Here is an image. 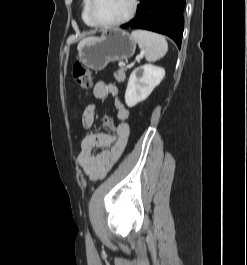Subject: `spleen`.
I'll return each instance as SVG.
<instances>
[{
    "label": "spleen",
    "mask_w": 247,
    "mask_h": 265,
    "mask_svg": "<svg viewBox=\"0 0 247 265\" xmlns=\"http://www.w3.org/2000/svg\"><path fill=\"white\" fill-rule=\"evenodd\" d=\"M131 36L138 43L139 48L144 51L147 61H156L167 53V41L158 33L146 30H134Z\"/></svg>",
    "instance_id": "3e777b00"
}]
</instances>
